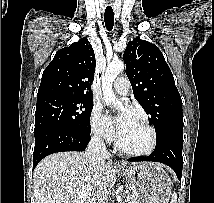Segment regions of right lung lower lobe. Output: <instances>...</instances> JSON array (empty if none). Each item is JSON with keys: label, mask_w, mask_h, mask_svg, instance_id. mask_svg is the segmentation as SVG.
I'll list each match as a JSON object with an SVG mask.
<instances>
[{"label": "right lung lower lobe", "mask_w": 214, "mask_h": 203, "mask_svg": "<svg viewBox=\"0 0 214 203\" xmlns=\"http://www.w3.org/2000/svg\"><path fill=\"white\" fill-rule=\"evenodd\" d=\"M35 134L33 169L46 156L64 151H84L91 136L61 127H47Z\"/></svg>", "instance_id": "obj_1"}]
</instances>
